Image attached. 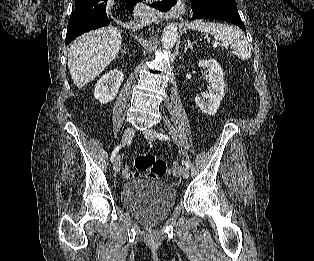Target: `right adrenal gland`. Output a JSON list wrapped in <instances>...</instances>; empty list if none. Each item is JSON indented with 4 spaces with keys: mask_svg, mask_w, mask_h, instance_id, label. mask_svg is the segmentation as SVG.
I'll return each instance as SVG.
<instances>
[{
    "mask_svg": "<svg viewBox=\"0 0 314 261\" xmlns=\"http://www.w3.org/2000/svg\"><path fill=\"white\" fill-rule=\"evenodd\" d=\"M121 53L127 54L126 49H121Z\"/></svg>",
    "mask_w": 314,
    "mask_h": 261,
    "instance_id": "2a0ac1e0",
    "label": "right adrenal gland"
}]
</instances>
